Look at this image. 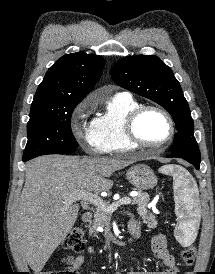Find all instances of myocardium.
<instances>
[{"instance_id":"1","label":"myocardium","mask_w":215,"mask_h":274,"mask_svg":"<svg viewBox=\"0 0 215 274\" xmlns=\"http://www.w3.org/2000/svg\"><path fill=\"white\" fill-rule=\"evenodd\" d=\"M147 111H156L162 114L169 124V134L165 140L159 143H148L140 138L137 133V122L139 118ZM124 130L127 139L136 147H143L149 149H159L169 144L175 135V123L172 116L162 107L156 105H139L128 113L124 122Z\"/></svg>"}]
</instances>
